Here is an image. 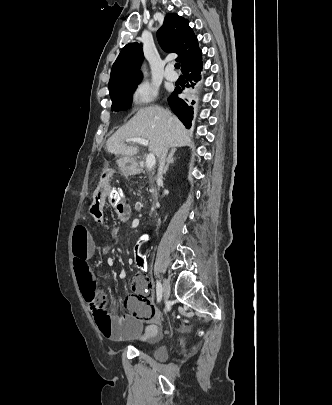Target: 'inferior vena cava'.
<instances>
[{
	"instance_id": "602c4592",
	"label": "inferior vena cava",
	"mask_w": 332,
	"mask_h": 405,
	"mask_svg": "<svg viewBox=\"0 0 332 405\" xmlns=\"http://www.w3.org/2000/svg\"><path fill=\"white\" fill-rule=\"evenodd\" d=\"M167 152H168V148L165 147L164 150H163V152H162V154H161V156H160L159 168H158V178H157V181H158V182H161V180H162V176H163V173H164V165H165V162H166Z\"/></svg>"
}]
</instances>
